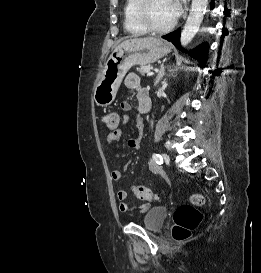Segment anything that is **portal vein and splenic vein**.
<instances>
[{"mask_svg": "<svg viewBox=\"0 0 261 273\" xmlns=\"http://www.w3.org/2000/svg\"><path fill=\"white\" fill-rule=\"evenodd\" d=\"M153 74H154V72H150V71H149V72L147 73V76H152Z\"/></svg>", "mask_w": 261, "mask_h": 273, "instance_id": "obj_1", "label": "portal vein and splenic vein"}]
</instances>
